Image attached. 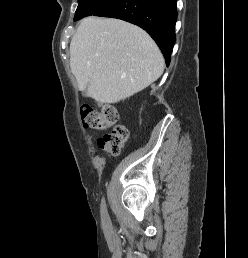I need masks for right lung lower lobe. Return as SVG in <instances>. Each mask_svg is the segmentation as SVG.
<instances>
[{"label": "right lung lower lobe", "mask_w": 248, "mask_h": 258, "mask_svg": "<svg viewBox=\"0 0 248 258\" xmlns=\"http://www.w3.org/2000/svg\"><path fill=\"white\" fill-rule=\"evenodd\" d=\"M177 0H114L96 16L112 17L144 29L161 49L166 65L175 43Z\"/></svg>", "instance_id": "right-lung-lower-lobe-1"}]
</instances>
